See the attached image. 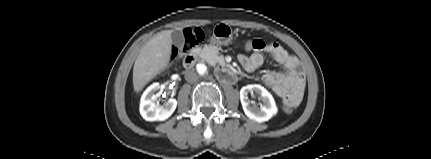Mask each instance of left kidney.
I'll return each mask as SVG.
<instances>
[{
  "mask_svg": "<svg viewBox=\"0 0 431 159\" xmlns=\"http://www.w3.org/2000/svg\"><path fill=\"white\" fill-rule=\"evenodd\" d=\"M253 92L259 95L262 100L260 108L252 106L249 102L248 94ZM240 100L246 116L259 123L268 121L278 112L273 96L264 87L258 84L242 87L240 90Z\"/></svg>",
  "mask_w": 431,
  "mask_h": 159,
  "instance_id": "obj_1",
  "label": "left kidney"
}]
</instances>
